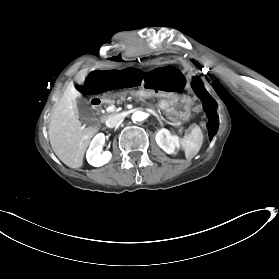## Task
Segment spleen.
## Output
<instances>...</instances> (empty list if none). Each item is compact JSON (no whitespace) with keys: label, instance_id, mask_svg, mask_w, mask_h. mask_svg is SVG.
<instances>
[{"label":"spleen","instance_id":"3e777b00","mask_svg":"<svg viewBox=\"0 0 279 279\" xmlns=\"http://www.w3.org/2000/svg\"><path fill=\"white\" fill-rule=\"evenodd\" d=\"M201 142V131L198 127H195L190 137L182 141V146L185 150V156L187 159H192L198 153L201 147Z\"/></svg>","mask_w":279,"mask_h":279}]
</instances>
